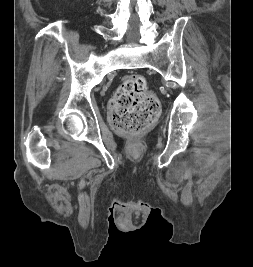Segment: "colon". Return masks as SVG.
Returning <instances> with one entry per match:
<instances>
[{"instance_id":"obj_1","label":"colon","mask_w":253,"mask_h":267,"mask_svg":"<svg viewBox=\"0 0 253 267\" xmlns=\"http://www.w3.org/2000/svg\"><path fill=\"white\" fill-rule=\"evenodd\" d=\"M109 107L112 127L129 137L141 135L160 110L158 99L147 90L146 80L140 75L124 78Z\"/></svg>"}]
</instances>
